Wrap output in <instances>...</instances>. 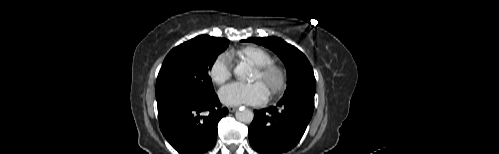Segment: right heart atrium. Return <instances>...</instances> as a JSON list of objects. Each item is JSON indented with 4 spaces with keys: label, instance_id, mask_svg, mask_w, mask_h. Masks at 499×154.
<instances>
[{
    "label": "right heart atrium",
    "instance_id": "right-heart-atrium-1",
    "mask_svg": "<svg viewBox=\"0 0 499 154\" xmlns=\"http://www.w3.org/2000/svg\"><path fill=\"white\" fill-rule=\"evenodd\" d=\"M231 60L227 56H218L211 64L209 76L213 83L222 85L232 75Z\"/></svg>",
    "mask_w": 499,
    "mask_h": 154
}]
</instances>
